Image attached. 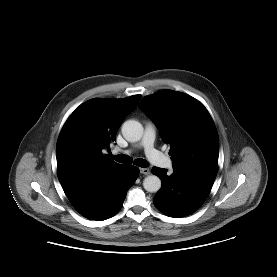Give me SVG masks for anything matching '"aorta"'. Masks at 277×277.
Returning <instances> with one entry per match:
<instances>
[{"label":"aorta","mask_w":277,"mask_h":277,"mask_svg":"<svg viewBox=\"0 0 277 277\" xmlns=\"http://www.w3.org/2000/svg\"><path fill=\"white\" fill-rule=\"evenodd\" d=\"M122 135L129 142H137L142 138L143 126L136 120H127L122 125ZM146 191L155 193L161 188V180L155 175L147 176L143 181Z\"/></svg>","instance_id":"1"}]
</instances>
